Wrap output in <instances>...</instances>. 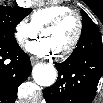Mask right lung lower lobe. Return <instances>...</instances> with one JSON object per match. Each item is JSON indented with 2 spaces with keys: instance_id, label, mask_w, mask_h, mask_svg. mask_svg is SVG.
Segmentation results:
<instances>
[{
  "instance_id": "obj_1",
  "label": "right lung lower lobe",
  "mask_w": 103,
  "mask_h": 103,
  "mask_svg": "<svg viewBox=\"0 0 103 103\" xmlns=\"http://www.w3.org/2000/svg\"><path fill=\"white\" fill-rule=\"evenodd\" d=\"M29 56L18 44L0 43V102L13 103L18 86L31 73Z\"/></svg>"
}]
</instances>
